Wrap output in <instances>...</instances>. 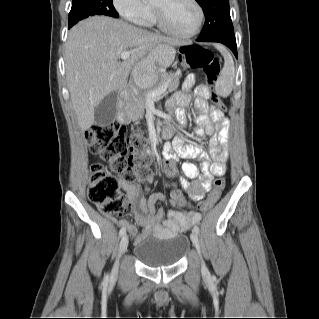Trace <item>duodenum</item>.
<instances>
[{
  "instance_id": "duodenum-1",
  "label": "duodenum",
  "mask_w": 319,
  "mask_h": 319,
  "mask_svg": "<svg viewBox=\"0 0 319 319\" xmlns=\"http://www.w3.org/2000/svg\"><path fill=\"white\" fill-rule=\"evenodd\" d=\"M130 102L127 89H124L119 101L116 104V120L119 123L127 122L126 107ZM170 134V130L166 131V135Z\"/></svg>"
}]
</instances>
